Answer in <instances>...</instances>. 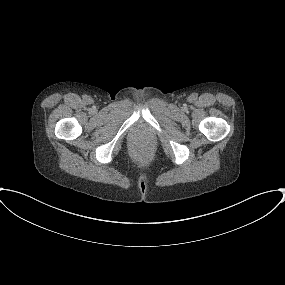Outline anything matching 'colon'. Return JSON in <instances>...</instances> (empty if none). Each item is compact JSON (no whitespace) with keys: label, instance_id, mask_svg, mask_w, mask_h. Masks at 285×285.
Listing matches in <instances>:
<instances>
[{"label":"colon","instance_id":"obj_1","mask_svg":"<svg viewBox=\"0 0 285 285\" xmlns=\"http://www.w3.org/2000/svg\"><path fill=\"white\" fill-rule=\"evenodd\" d=\"M137 154L142 160H147L152 156V149L147 145H142L139 147Z\"/></svg>","mask_w":285,"mask_h":285}]
</instances>
